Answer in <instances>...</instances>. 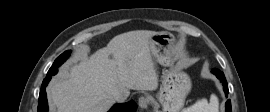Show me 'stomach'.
<instances>
[{"label": "stomach", "mask_w": 270, "mask_h": 112, "mask_svg": "<svg viewBox=\"0 0 270 112\" xmlns=\"http://www.w3.org/2000/svg\"><path fill=\"white\" fill-rule=\"evenodd\" d=\"M154 59L170 67L162 76V84L156 95L164 112H178L191 90V80L177 63L178 52L174 36L166 31L157 32L151 38Z\"/></svg>", "instance_id": "0dacf381"}]
</instances>
